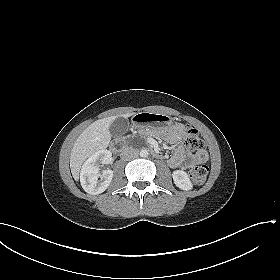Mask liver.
Masks as SVG:
<instances>
[{
    "label": "liver",
    "mask_w": 280,
    "mask_h": 280,
    "mask_svg": "<svg viewBox=\"0 0 280 280\" xmlns=\"http://www.w3.org/2000/svg\"><path fill=\"white\" fill-rule=\"evenodd\" d=\"M134 113H126L121 117L128 118ZM118 116H111L93 122L76 139L70 154V168L77 181L84 161L98 150L108 147L111 134L109 127Z\"/></svg>",
    "instance_id": "6515ba94"
}]
</instances>
